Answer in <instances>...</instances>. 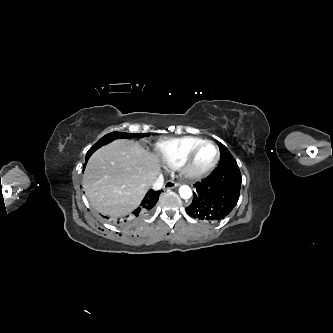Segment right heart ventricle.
Listing matches in <instances>:
<instances>
[{
  "instance_id": "obj_1",
  "label": "right heart ventricle",
  "mask_w": 333,
  "mask_h": 333,
  "mask_svg": "<svg viewBox=\"0 0 333 333\" xmlns=\"http://www.w3.org/2000/svg\"><path fill=\"white\" fill-rule=\"evenodd\" d=\"M204 139L199 137H181L161 141L156 144L155 152L166 166L177 168L188 153Z\"/></svg>"
}]
</instances>
